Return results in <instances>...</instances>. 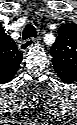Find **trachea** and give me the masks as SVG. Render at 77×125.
<instances>
[{"label": "trachea", "instance_id": "obj_1", "mask_svg": "<svg viewBox=\"0 0 77 125\" xmlns=\"http://www.w3.org/2000/svg\"><path fill=\"white\" fill-rule=\"evenodd\" d=\"M37 36L36 28L32 24H27L23 30L22 37L24 40Z\"/></svg>", "mask_w": 77, "mask_h": 125}]
</instances>
